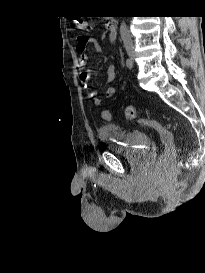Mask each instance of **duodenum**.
<instances>
[{
  "label": "duodenum",
  "mask_w": 205,
  "mask_h": 273,
  "mask_svg": "<svg viewBox=\"0 0 205 273\" xmlns=\"http://www.w3.org/2000/svg\"><path fill=\"white\" fill-rule=\"evenodd\" d=\"M105 27H106L107 31H109L110 33H113L116 28V19L115 18H107V20L105 21Z\"/></svg>",
  "instance_id": "410a0bca"
}]
</instances>
